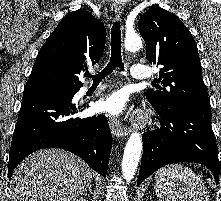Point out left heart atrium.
<instances>
[{
  "mask_svg": "<svg viewBox=\"0 0 221 201\" xmlns=\"http://www.w3.org/2000/svg\"><path fill=\"white\" fill-rule=\"evenodd\" d=\"M127 106V96L123 91H117L99 102V109L111 115H119Z\"/></svg>",
  "mask_w": 221,
  "mask_h": 201,
  "instance_id": "39dd6f15",
  "label": "left heart atrium"
}]
</instances>
